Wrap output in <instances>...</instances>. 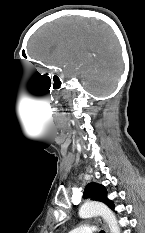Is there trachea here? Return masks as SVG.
Returning a JSON list of instances; mask_svg holds the SVG:
<instances>
[{"label":"trachea","mask_w":145,"mask_h":233,"mask_svg":"<svg viewBox=\"0 0 145 233\" xmlns=\"http://www.w3.org/2000/svg\"><path fill=\"white\" fill-rule=\"evenodd\" d=\"M100 233H105V231L102 230V231H100Z\"/></svg>","instance_id":"1"}]
</instances>
